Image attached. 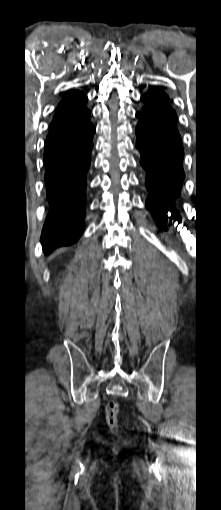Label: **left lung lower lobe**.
Instances as JSON below:
<instances>
[{
  "label": "left lung lower lobe",
  "mask_w": 221,
  "mask_h": 510,
  "mask_svg": "<svg viewBox=\"0 0 221 510\" xmlns=\"http://www.w3.org/2000/svg\"><path fill=\"white\" fill-rule=\"evenodd\" d=\"M136 147L141 153L140 164L145 170V186L149 192L146 206L167 231V219L181 222L174 206L184 179L183 148L179 134L172 133L147 114L137 112Z\"/></svg>",
  "instance_id": "0a47b994"
}]
</instances>
